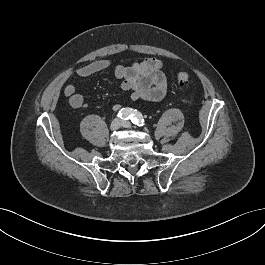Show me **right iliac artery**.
<instances>
[{"mask_svg": "<svg viewBox=\"0 0 265 265\" xmlns=\"http://www.w3.org/2000/svg\"><path fill=\"white\" fill-rule=\"evenodd\" d=\"M134 110L131 108H123L119 111L118 117H120L123 120L130 119V117L133 115Z\"/></svg>", "mask_w": 265, "mask_h": 265, "instance_id": "right-iliac-artery-1", "label": "right iliac artery"}]
</instances>
